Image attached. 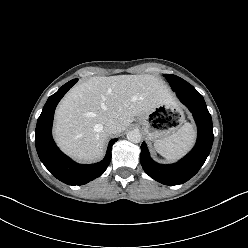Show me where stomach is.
<instances>
[{"mask_svg":"<svg viewBox=\"0 0 248 248\" xmlns=\"http://www.w3.org/2000/svg\"><path fill=\"white\" fill-rule=\"evenodd\" d=\"M178 119L183 121V113L175 105H161L138 119L145 136L152 142L166 138L178 126H171Z\"/></svg>","mask_w":248,"mask_h":248,"instance_id":"obj_1","label":"stomach"}]
</instances>
